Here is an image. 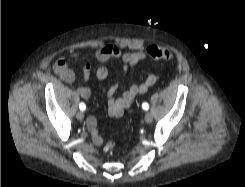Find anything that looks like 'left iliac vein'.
Wrapping results in <instances>:
<instances>
[{
    "label": "left iliac vein",
    "mask_w": 245,
    "mask_h": 187,
    "mask_svg": "<svg viewBox=\"0 0 245 187\" xmlns=\"http://www.w3.org/2000/svg\"><path fill=\"white\" fill-rule=\"evenodd\" d=\"M145 122L146 123H151L152 122V120H153V116H152V113L151 112H149V111H147L146 113H145Z\"/></svg>",
    "instance_id": "1"
}]
</instances>
